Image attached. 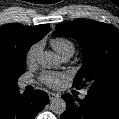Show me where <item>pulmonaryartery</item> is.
I'll return each mask as SVG.
<instances>
[{"label": "pulmonary artery", "mask_w": 119, "mask_h": 119, "mask_svg": "<svg viewBox=\"0 0 119 119\" xmlns=\"http://www.w3.org/2000/svg\"><path fill=\"white\" fill-rule=\"evenodd\" d=\"M71 56H72V54H65V55H63L61 58H62L63 61H68V60L71 58ZM31 83H32L31 80L25 79V80H22V81L20 82V86H21V87H25V86H27V85H30ZM86 94H87V92L84 91V92L81 94V98H82V99L85 98Z\"/></svg>", "instance_id": "1"}]
</instances>
